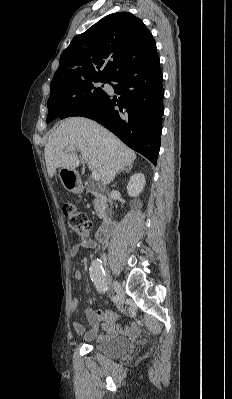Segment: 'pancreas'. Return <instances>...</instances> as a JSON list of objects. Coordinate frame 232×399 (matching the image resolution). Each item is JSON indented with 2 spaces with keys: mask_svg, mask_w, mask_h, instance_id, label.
I'll return each instance as SVG.
<instances>
[{
  "mask_svg": "<svg viewBox=\"0 0 232 399\" xmlns=\"http://www.w3.org/2000/svg\"><path fill=\"white\" fill-rule=\"evenodd\" d=\"M92 194L96 198V200L93 201L96 213L105 221V219H107V211H110L107 205V201L109 200H107L106 196H102V194H95V192H92Z\"/></svg>",
  "mask_w": 232,
  "mask_h": 399,
  "instance_id": "obj_1",
  "label": "pancreas"
}]
</instances>
